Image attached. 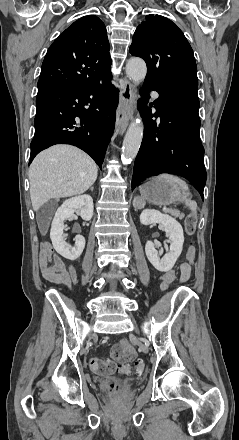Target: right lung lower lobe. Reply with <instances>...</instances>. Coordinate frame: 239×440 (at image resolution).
Listing matches in <instances>:
<instances>
[{
    "label": "right lung lower lobe",
    "instance_id": "98d812e1",
    "mask_svg": "<svg viewBox=\"0 0 239 440\" xmlns=\"http://www.w3.org/2000/svg\"><path fill=\"white\" fill-rule=\"evenodd\" d=\"M111 78L38 91L29 164L40 151L64 143L84 150L101 168L118 104Z\"/></svg>",
    "mask_w": 239,
    "mask_h": 440
}]
</instances>
